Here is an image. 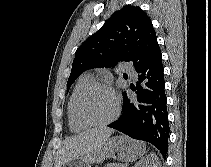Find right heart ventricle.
Wrapping results in <instances>:
<instances>
[{
  "label": "right heart ventricle",
  "instance_id": "e07e8e85",
  "mask_svg": "<svg viewBox=\"0 0 211 167\" xmlns=\"http://www.w3.org/2000/svg\"><path fill=\"white\" fill-rule=\"evenodd\" d=\"M89 81H91V78L88 74L81 75L78 78L74 88L72 89V92L68 99V103H67L68 125L70 129L75 132L82 131L88 127L87 125L82 124L76 119L73 108H74V101H75L76 95Z\"/></svg>",
  "mask_w": 211,
  "mask_h": 167
}]
</instances>
